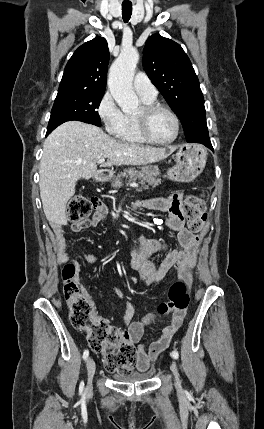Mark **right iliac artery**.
Here are the masks:
<instances>
[{
  "label": "right iliac artery",
  "mask_w": 264,
  "mask_h": 429,
  "mask_svg": "<svg viewBox=\"0 0 264 429\" xmlns=\"http://www.w3.org/2000/svg\"><path fill=\"white\" fill-rule=\"evenodd\" d=\"M88 356H89V351L85 350L83 353V359L86 360L88 358Z\"/></svg>",
  "instance_id": "1"
}]
</instances>
